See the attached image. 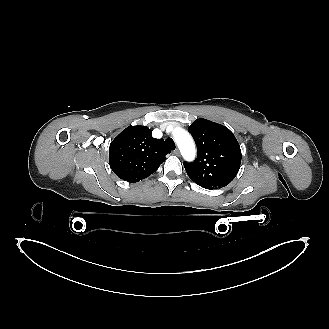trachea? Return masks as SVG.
<instances>
[{"mask_svg":"<svg viewBox=\"0 0 329 329\" xmlns=\"http://www.w3.org/2000/svg\"><path fill=\"white\" fill-rule=\"evenodd\" d=\"M165 145L169 150H174L175 149V143L171 138H167L165 140Z\"/></svg>","mask_w":329,"mask_h":329,"instance_id":"3493384b","label":"trachea"}]
</instances>
